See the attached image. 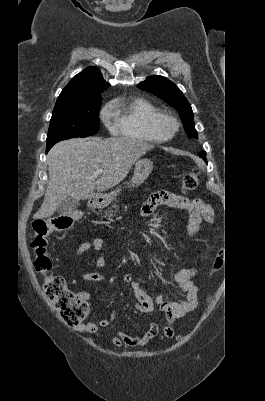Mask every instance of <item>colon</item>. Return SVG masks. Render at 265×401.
Returning a JSON list of instances; mask_svg holds the SVG:
<instances>
[{
	"label": "colon",
	"mask_w": 265,
	"mask_h": 401,
	"mask_svg": "<svg viewBox=\"0 0 265 401\" xmlns=\"http://www.w3.org/2000/svg\"><path fill=\"white\" fill-rule=\"evenodd\" d=\"M199 175V171L194 169L183 177L181 189L184 193L192 192L197 188ZM81 218L82 212L74 210L46 219H37L33 222V236L30 240V247L35 254L34 267L44 276V294L54 304L61 320L69 326H78L84 321L89 312V305L84 298L67 287L62 276L49 274L52 264L46 252L47 239L53 232L69 229ZM224 262V250H220L214 260L212 271L221 269ZM163 334L166 337H172L174 331L170 326H166Z\"/></svg>",
	"instance_id": "obj_1"
}]
</instances>
